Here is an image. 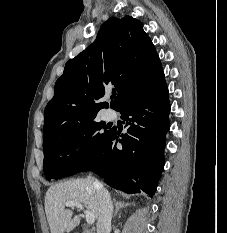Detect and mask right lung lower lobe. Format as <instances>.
Returning a JSON list of instances; mask_svg holds the SVG:
<instances>
[{"instance_id": "obj_1", "label": "right lung lower lobe", "mask_w": 227, "mask_h": 233, "mask_svg": "<svg viewBox=\"0 0 227 233\" xmlns=\"http://www.w3.org/2000/svg\"><path fill=\"white\" fill-rule=\"evenodd\" d=\"M120 113L126 134L112 128L93 161L82 171H93L113 188L126 193L154 195L164 166L165 136L170 128L165 79L124 105ZM117 143L122 148H117Z\"/></svg>"}]
</instances>
